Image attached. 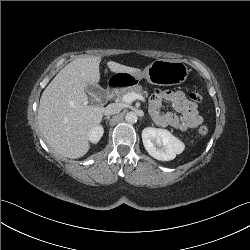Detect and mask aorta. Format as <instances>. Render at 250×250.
Masks as SVG:
<instances>
[{"label": "aorta", "mask_w": 250, "mask_h": 250, "mask_svg": "<svg viewBox=\"0 0 250 250\" xmlns=\"http://www.w3.org/2000/svg\"><path fill=\"white\" fill-rule=\"evenodd\" d=\"M125 120L128 123H135L137 122V114L135 112H128L125 116Z\"/></svg>", "instance_id": "762f6f07"}]
</instances>
